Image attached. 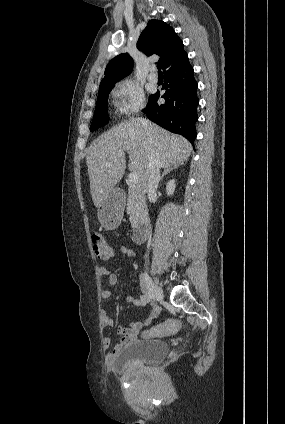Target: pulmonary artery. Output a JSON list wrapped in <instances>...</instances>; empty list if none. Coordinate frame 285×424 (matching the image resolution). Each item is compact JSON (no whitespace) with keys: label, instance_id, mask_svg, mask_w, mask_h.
<instances>
[{"label":"pulmonary artery","instance_id":"1","mask_svg":"<svg viewBox=\"0 0 285 424\" xmlns=\"http://www.w3.org/2000/svg\"><path fill=\"white\" fill-rule=\"evenodd\" d=\"M148 79H149L151 82H153V83H156V82L158 81V77H157V75H156L155 73H153V72H151V73L148 75Z\"/></svg>","mask_w":285,"mask_h":424}]
</instances>
